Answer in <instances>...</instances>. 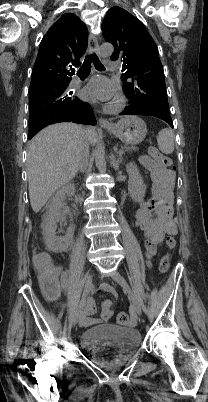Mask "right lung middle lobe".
Segmentation results:
<instances>
[{
  "mask_svg": "<svg viewBox=\"0 0 208 402\" xmlns=\"http://www.w3.org/2000/svg\"><path fill=\"white\" fill-rule=\"evenodd\" d=\"M69 80L45 82L29 89V120L38 116L75 109L81 102L69 92Z\"/></svg>",
  "mask_w": 208,
  "mask_h": 402,
  "instance_id": "obj_1",
  "label": "right lung middle lobe"
}]
</instances>
